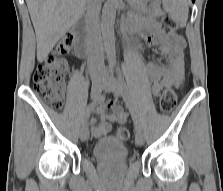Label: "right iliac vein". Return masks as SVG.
I'll return each mask as SVG.
<instances>
[{
  "mask_svg": "<svg viewBox=\"0 0 223 191\" xmlns=\"http://www.w3.org/2000/svg\"><path fill=\"white\" fill-rule=\"evenodd\" d=\"M104 81L101 80H92V88H91V97L92 99L97 98L101 91L104 88ZM89 138V129L87 125H82L81 129H80V139L82 141H87Z\"/></svg>",
  "mask_w": 223,
  "mask_h": 191,
  "instance_id": "63e3f726",
  "label": "right iliac vein"
}]
</instances>
